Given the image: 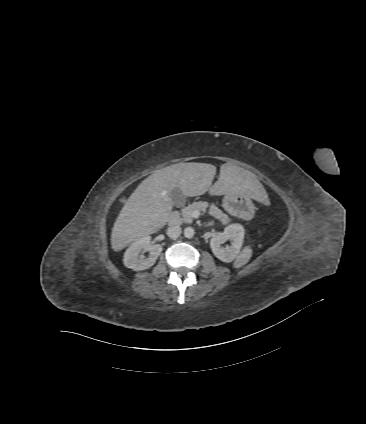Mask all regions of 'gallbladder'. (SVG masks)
Masks as SVG:
<instances>
[{
    "label": "gallbladder",
    "mask_w": 366,
    "mask_h": 424,
    "mask_svg": "<svg viewBox=\"0 0 366 424\" xmlns=\"http://www.w3.org/2000/svg\"><path fill=\"white\" fill-rule=\"evenodd\" d=\"M173 204L175 206H178L180 204V202L182 201V198L184 197L182 191L179 188H175L171 191L170 194Z\"/></svg>",
    "instance_id": "1"
}]
</instances>
